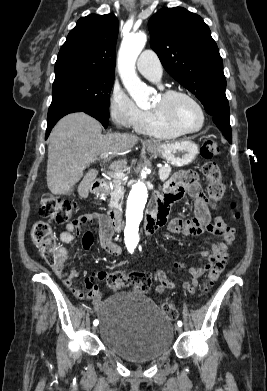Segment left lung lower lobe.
I'll use <instances>...</instances> for the list:
<instances>
[{
    "label": "left lung lower lobe",
    "instance_id": "left-lung-lower-lobe-1",
    "mask_svg": "<svg viewBox=\"0 0 267 391\" xmlns=\"http://www.w3.org/2000/svg\"><path fill=\"white\" fill-rule=\"evenodd\" d=\"M214 123L222 131L229 143L232 142V131L230 126L229 113H219L212 116Z\"/></svg>",
    "mask_w": 267,
    "mask_h": 391
}]
</instances>
